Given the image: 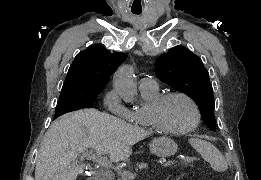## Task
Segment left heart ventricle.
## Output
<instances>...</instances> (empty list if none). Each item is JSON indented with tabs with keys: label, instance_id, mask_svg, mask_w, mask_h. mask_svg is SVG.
Here are the masks:
<instances>
[{
	"label": "left heart ventricle",
	"instance_id": "obj_1",
	"mask_svg": "<svg viewBox=\"0 0 261 180\" xmlns=\"http://www.w3.org/2000/svg\"><path fill=\"white\" fill-rule=\"evenodd\" d=\"M192 106L182 98H171L145 118L154 122L163 133H179L188 129L194 121Z\"/></svg>",
	"mask_w": 261,
	"mask_h": 180
}]
</instances>
